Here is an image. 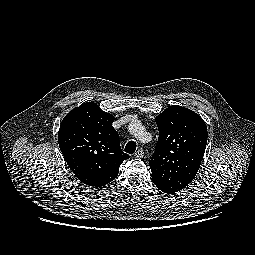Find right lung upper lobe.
<instances>
[{"instance_id": "right-lung-upper-lobe-1", "label": "right lung upper lobe", "mask_w": 255, "mask_h": 255, "mask_svg": "<svg viewBox=\"0 0 255 255\" xmlns=\"http://www.w3.org/2000/svg\"><path fill=\"white\" fill-rule=\"evenodd\" d=\"M113 121V115L87 102L71 110L60 124V150L72 172L86 185L105 186L129 158L121 150Z\"/></svg>"}]
</instances>
